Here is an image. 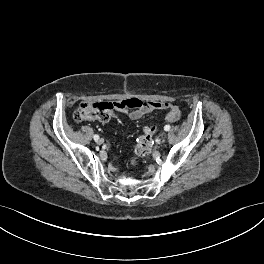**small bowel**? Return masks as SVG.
Wrapping results in <instances>:
<instances>
[{"instance_id":"small-bowel-1","label":"small bowel","mask_w":264,"mask_h":264,"mask_svg":"<svg viewBox=\"0 0 264 264\" xmlns=\"http://www.w3.org/2000/svg\"><path fill=\"white\" fill-rule=\"evenodd\" d=\"M130 105L120 108L124 113H127L132 120H138L145 115L156 110H167L166 120L168 122H175L180 118V109L168 102H154V101H141L137 98L127 100Z\"/></svg>"}]
</instances>
